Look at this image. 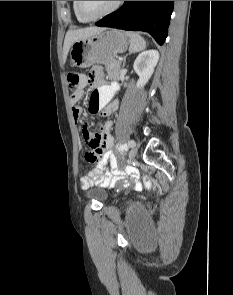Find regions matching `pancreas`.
<instances>
[{
    "label": "pancreas",
    "instance_id": "cf45deb5",
    "mask_svg": "<svg viewBox=\"0 0 233 295\" xmlns=\"http://www.w3.org/2000/svg\"><path fill=\"white\" fill-rule=\"evenodd\" d=\"M105 68L108 73V76L111 79H120L121 63L119 60H113L112 62L105 64Z\"/></svg>",
    "mask_w": 233,
    "mask_h": 295
}]
</instances>
